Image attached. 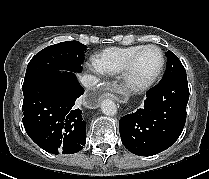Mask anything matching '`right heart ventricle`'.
Wrapping results in <instances>:
<instances>
[{"instance_id":"obj_1","label":"right heart ventricle","mask_w":209,"mask_h":179,"mask_svg":"<svg viewBox=\"0 0 209 179\" xmlns=\"http://www.w3.org/2000/svg\"><path fill=\"white\" fill-rule=\"evenodd\" d=\"M145 45L109 47L99 52L93 59L94 66L103 75L115 76L122 72L129 59Z\"/></svg>"}]
</instances>
